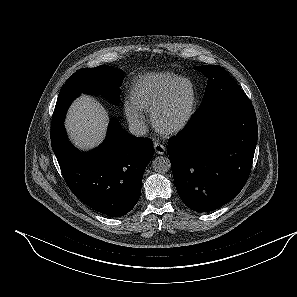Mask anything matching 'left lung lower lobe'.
I'll return each instance as SVG.
<instances>
[{
  "instance_id": "1",
  "label": "left lung lower lobe",
  "mask_w": 297,
  "mask_h": 297,
  "mask_svg": "<svg viewBox=\"0 0 297 297\" xmlns=\"http://www.w3.org/2000/svg\"><path fill=\"white\" fill-rule=\"evenodd\" d=\"M258 138L255 110L248 101H231L194 115L169 140L173 178L190 209L220 208L244 187Z\"/></svg>"
}]
</instances>
